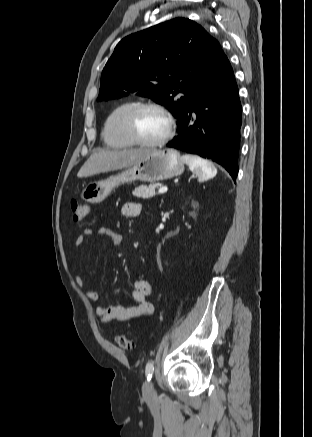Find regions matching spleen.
<instances>
[{"instance_id": "obj_1", "label": "spleen", "mask_w": 312, "mask_h": 437, "mask_svg": "<svg viewBox=\"0 0 312 437\" xmlns=\"http://www.w3.org/2000/svg\"><path fill=\"white\" fill-rule=\"evenodd\" d=\"M181 159L189 166L190 170L196 174L199 182L213 178L217 174L216 167L211 162L199 156L186 154L183 155Z\"/></svg>"}]
</instances>
